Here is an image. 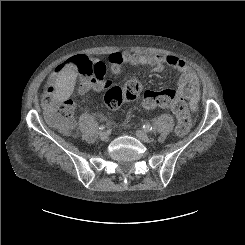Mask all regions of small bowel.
Returning <instances> with one entry per match:
<instances>
[{"label":"small bowel","mask_w":245,"mask_h":245,"mask_svg":"<svg viewBox=\"0 0 245 245\" xmlns=\"http://www.w3.org/2000/svg\"><path fill=\"white\" fill-rule=\"evenodd\" d=\"M110 70L113 74H118L125 65L134 67H152L154 71L160 72L165 66L176 70L179 74L177 82V92L189 102L191 111L195 112L199 107L201 99V90L198 77L194 70L188 66L181 58L173 54H153L142 55L132 51H117L108 55ZM76 70L67 60L56 66L52 80H58L64 76L75 77ZM111 81L107 78L97 80L90 78L82 81L77 89L79 95L89 92L100 93L109 88ZM104 121V117H100Z\"/></svg>","instance_id":"1"}]
</instances>
